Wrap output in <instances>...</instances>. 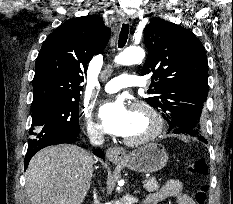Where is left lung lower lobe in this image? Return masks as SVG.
Listing matches in <instances>:
<instances>
[{
    "label": "left lung lower lobe",
    "instance_id": "0a47b994",
    "mask_svg": "<svg viewBox=\"0 0 233 204\" xmlns=\"http://www.w3.org/2000/svg\"><path fill=\"white\" fill-rule=\"evenodd\" d=\"M196 114V111L191 109L182 111L181 113L177 114L174 123L183 126L191 125L195 121ZM198 138L200 141L207 143V140L203 136H198Z\"/></svg>",
    "mask_w": 233,
    "mask_h": 204
}]
</instances>
